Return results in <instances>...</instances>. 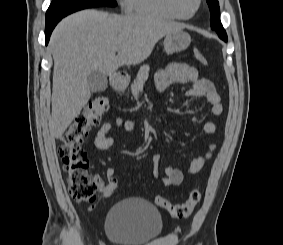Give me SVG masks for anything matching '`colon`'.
Masks as SVG:
<instances>
[{
    "instance_id": "1",
    "label": "colon",
    "mask_w": 283,
    "mask_h": 245,
    "mask_svg": "<svg viewBox=\"0 0 283 245\" xmlns=\"http://www.w3.org/2000/svg\"><path fill=\"white\" fill-rule=\"evenodd\" d=\"M198 62L207 66L206 57L199 51H194ZM109 108L107 97L92 99L74 118L70 126L62 136V143L58 149L64 170L67 174L68 189L71 197L78 203H93L97 196V183L88 173L89 162L82 145L89 131L96 127L102 115ZM118 187L115 178L109 179L105 184L104 198L110 197ZM201 200V192L193 189L188 198L179 204H173L162 196H155L154 202L160 208L167 210L174 218L189 217Z\"/></svg>"
}]
</instances>
